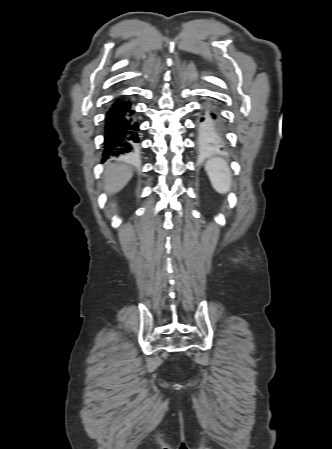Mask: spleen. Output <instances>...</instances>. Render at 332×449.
Wrapping results in <instances>:
<instances>
[{
    "mask_svg": "<svg viewBox=\"0 0 332 449\" xmlns=\"http://www.w3.org/2000/svg\"><path fill=\"white\" fill-rule=\"evenodd\" d=\"M206 173L213 188L220 194L227 193L231 188V172L228 164L221 158H213L205 165Z\"/></svg>",
    "mask_w": 332,
    "mask_h": 449,
    "instance_id": "obj_1",
    "label": "spleen"
}]
</instances>
